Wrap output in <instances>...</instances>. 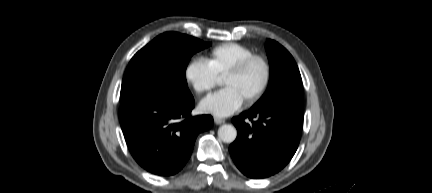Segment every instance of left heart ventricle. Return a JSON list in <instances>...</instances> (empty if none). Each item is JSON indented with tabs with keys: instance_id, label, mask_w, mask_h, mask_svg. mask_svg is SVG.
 <instances>
[{
	"instance_id": "b2bd125f",
	"label": "left heart ventricle",
	"mask_w": 432,
	"mask_h": 193,
	"mask_svg": "<svg viewBox=\"0 0 432 193\" xmlns=\"http://www.w3.org/2000/svg\"><path fill=\"white\" fill-rule=\"evenodd\" d=\"M258 86H259V84H256V88L254 86V88H252V91L256 90Z\"/></svg>"
}]
</instances>
